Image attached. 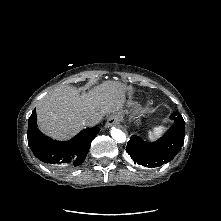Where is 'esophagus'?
Segmentation results:
<instances>
[{
	"label": "esophagus",
	"mask_w": 221,
	"mask_h": 221,
	"mask_svg": "<svg viewBox=\"0 0 221 221\" xmlns=\"http://www.w3.org/2000/svg\"><path fill=\"white\" fill-rule=\"evenodd\" d=\"M120 121H121V117L118 114H113L107 119L105 127L109 128L112 126H117L119 125Z\"/></svg>",
	"instance_id": "obj_1"
}]
</instances>
